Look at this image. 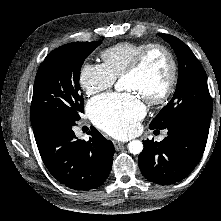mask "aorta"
<instances>
[{
  "label": "aorta",
  "mask_w": 221,
  "mask_h": 221,
  "mask_svg": "<svg viewBox=\"0 0 221 221\" xmlns=\"http://www.w3.org/2000/svg\"><path fill=\"white\" fill-rule=\"evenodd\" d=\"M115 89L121 91L123 88L120 83H116ZM128 150L132 154H140L143 150V143L140 140H132L128 143Z\"/></svg>",
  "instance_id": "aorta-1"
}]
</instances>
